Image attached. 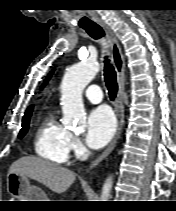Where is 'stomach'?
<instances>
[{"mask_svg":"<svg viewBox=\"0 0 176 211\" xmlns=\"http://www.w3.org/2000/svg\"><path fill=\"white\" fill-rule=\"evenodd\" d=\"M7 191L19 201H48L46 194L39 187L31 185L28 177L16 173H8Z\"/></svg>","mask_w":176,"mask_h":211,"instance_id":"1","label":"stomach"}]
</instances>
